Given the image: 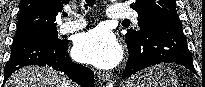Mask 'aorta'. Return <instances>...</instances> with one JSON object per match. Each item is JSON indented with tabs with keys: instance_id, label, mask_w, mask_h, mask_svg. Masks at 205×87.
Listing matches in <instances>:
<instances>
[{
	"instance_id": "762f6f07",
	"label": "aorta",
	"mask_w": 205,
	"mask_h": 87,
	"mask_svg": "<svg viewBox=\"0 0 205 87\" xmlns=\"http://www.w3.org/2000/svg\"><path fill=\"white\" fill-rule=\"evenodd\" d=\"M106 87H114V86H113V82H109V83L106 85Z\"/></svg>"
}]
</instances>
